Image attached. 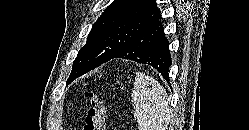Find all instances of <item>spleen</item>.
Masks as SVG:
<instances>
[{
  "label": "spleen",
  "instance_id": "3e777b00",
  "mask_svg": "<svg viewBox=\"0 0 249 130\" xmlns=\"http://www.w3.org/2000/svg\"><path fill=\"white\" fill-rule=\"evenodd\" d=\"M132 104L139 130H166L170 121L169 99L165 88L153 77L136 73Z\"/></svg>",
  "mask_w": 249,
  "mask_h": 130
}]
</instances>
